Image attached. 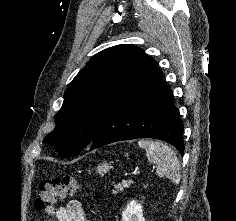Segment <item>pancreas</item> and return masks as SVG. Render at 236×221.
<instances>
[{"label":"pancreas","mask_w":236,"mask_h":221,"mask_svg":"<svg viewBox=\"0 0 236 221\" xmlns=\"http://www.w3.org/2000/svg\"><path fill=\"white\" fill-rule=\"evenodd\" d=\"M123 190H124L123 186L121 184H119V185L116 186V190H112V193L116 194L117 191L122 192Z\"/></svg>","instance_id":"pancreas-1"}]
</instances>
